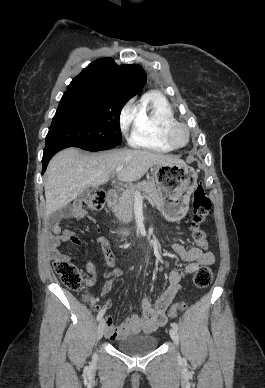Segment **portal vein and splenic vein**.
Here are the masks:
<instances>
[{
	"instance_id": "portal-vein-and-splenic-vein-1",
	"label": "portal vein and splenic vein",
	"mask_w": 265,
	"mask_h": 388,
	"mask_svg": "<svg viewBox=\"0 0 265 388\" xmlns=\"http://www.w3.org/2000/svg\"><path fill=\"white\" fill-rule=\"evenodd\" d=\"M124 166H118V168H116L115 172H121V170H123ZM134 198L135 200H141L142 196L140 194V192H138V190H136L135 194H134Z\"/></svg>"
}]
</instances>
